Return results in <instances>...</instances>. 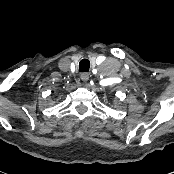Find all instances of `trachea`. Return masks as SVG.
<instances>
[{
    "label": "trachea",
    "mask_w": 174,
    "mask_h": 174,
    "mask_svg": "<svg viewBox=\"0 0 174 174\" xmlns=\"http://www.w3.org/2000/svg\"><path fill=\"white\" fill-rule=\"evenodd\" d=\"M90 68V61L88 59H82L79 63L80 72H88Z\"/></svg>",
    "instance_id": "trachea-1"
}]
</instances>
